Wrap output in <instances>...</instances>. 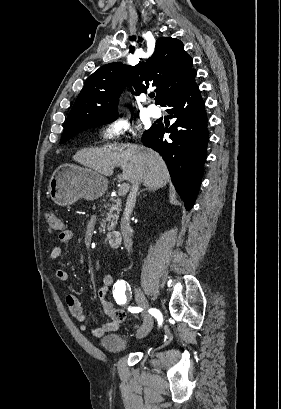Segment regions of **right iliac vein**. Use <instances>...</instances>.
Returning <instances> with one entry per match:
<instances>
[{"mask_svg": "<svg viewBox=\"0 0 281 409\" xmlns=\"http://www.w3.org/2000/svg\"><path fill=\"white\" fill-rule=\"evenodd\" d=\"M135 299L141 308L144 309L149 308V302L140 287H135ZM152 326H153L152 316L150 314H145L144 323L142 327L138 330L137 337L143 338L144 336H146L152 329Z\"/></svg>", "mask_w": 281, "mask_h": 409, "instance_id": "1", "label": "right iliac vein"}]
</instances>
